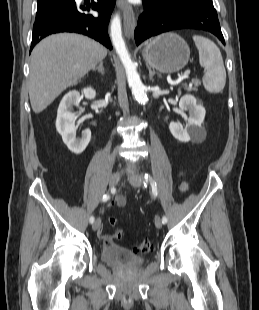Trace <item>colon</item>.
<instances>
[{
  "label": "colon",
  "mask_w": 259,
  "mask_h": 310,
  "mask_svg": "<svg viewBox=\"0 0 259 310\" xmlns=\"http://www.w3.org/2000/svg\"><path fill=\"white\" fill-rule=\"evenodd\" d=\"M109 223L114 226L117 223V219L115 217H110ZM113 237L115 239H121L123 237V231L121 229H116L113 233ZM152 248L153 241L151 239H144L135 246L134 251L138 254H146L150 252Z\"/></svg>",
  "instance_id": "5ec220e1"
}]
</instances>
